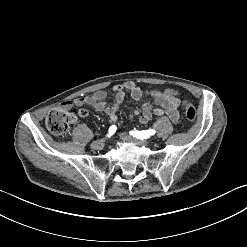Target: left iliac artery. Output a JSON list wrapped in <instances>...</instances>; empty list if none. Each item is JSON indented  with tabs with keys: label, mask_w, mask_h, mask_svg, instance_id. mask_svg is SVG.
Instances as JSON below:
<instances>
[{
	"label": "left iliac artery",
	"mask_w": 247,
	"mask_h": 247,
	"mask_svg": "<svg viewBox=\"0 0 247 247\" xmlns=\"http://www.w3.org/2000/svg\"><path fill=\"white\" fill-rule=\"evenodd\" d=\"M156 131L154 129H149V130H142V131H130V135H133L134 137L138 139H147L150 136L154 135Z\"/></svg>",
	"instance_id": "1"
}]
</instances>
